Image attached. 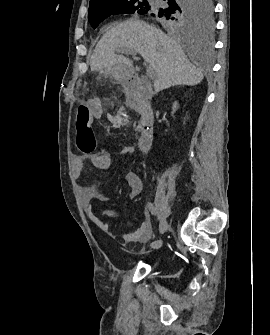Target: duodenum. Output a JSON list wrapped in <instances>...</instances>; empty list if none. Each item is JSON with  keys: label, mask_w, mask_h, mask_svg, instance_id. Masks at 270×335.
<instances>
[{"label": "duodenum", "mask_w": 270, "mask_h": 335, "mask_svg": "<svg viewBox=\"0 0 270 335\" xmlns=\"http://www.w3.org/2000/svg\"><path fill=\"white\" fill-rule=\"evenodd\" d=\"M126 92L130 97L129 106L139 115L138 147L142 152H147L153 141L154 114L150 103L145 99V87L134 80L126 84Z\"/></svg>", "instance_id": "duodenum-1"}]
</instances>
